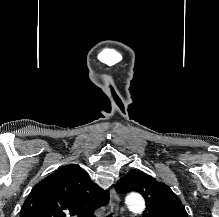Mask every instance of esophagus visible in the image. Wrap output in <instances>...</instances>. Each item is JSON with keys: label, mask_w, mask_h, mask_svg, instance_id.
<instances>
[{"label": "esophagus", "mask_w": 219, "mask_h": 217, "mask_svg": "<svg viewBox=\"0 0 219 217\" xmlns=\"http://www.w3.org/2000/svg\"><path fill=\"white\" fill-rule=\"evenodd\" d=\"M119 202H120V198H119L117 192L115 191V189L112 188L110 190V201H109V206H110L112 211H115V212L118 211Z\"/></svg>", "instance_id": "1"}]
</instances>
